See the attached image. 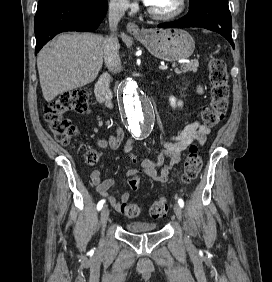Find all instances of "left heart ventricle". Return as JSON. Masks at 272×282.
Segmentation results:
<instances>
[{"label":"left heart ventricle","instance_id":"b2bd125f","mask_svg":"<svg viewBox=\"0 0 272 282\" xmlns=\"http://www.w3.org/2000/svg\"><path fill=\"white\" fill-rule=\"evenodd\" d=\"M149 7L159 13H172L179 8V0H150Z\"/></svg>","mask_w":272,"mask_h":282}]
</instances>
